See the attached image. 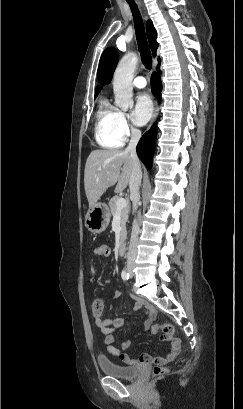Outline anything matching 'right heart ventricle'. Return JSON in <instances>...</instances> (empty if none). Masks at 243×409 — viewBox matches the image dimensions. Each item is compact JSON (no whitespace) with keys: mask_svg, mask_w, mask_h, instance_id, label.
<instances>
[{"mask_svg":"<svg viewBox=\"0 0 243 409\" xmlns=\"http://www.w3.org/2000/svg\"><path fill=\"white\" fill-rule=\"evenodd\" d=\"M118 111L109 99L103 98L96 112V141L105 148H120L123 140L115 130V119Z\"/></svg>","mask_w":243,"mask_h":409,"instance_id":"right-heart-ventricle-1","label":"right heart ventricle"}]
</instances>
